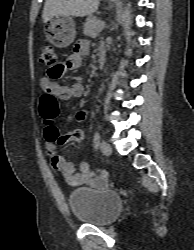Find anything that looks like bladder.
I'll return each instance as SVG.
<instances>
[{
    "instance_id": "31cf9c89",
    "label": "bladder",
    "mask_w": 194,
    "mask_h": 250,
    "mask_svg": "<svg viewBox=\"0 0 194 250\" xmlns=\"http://www.w3.org/2000/svg\"><path fill=\"white\" fill-rule=\"evenodd\" d=\"M68 205L79 221L90 225L105 226L112 222L122 209L118 193L81 187L72 190L67 197Z\"/></svg>"
}]
</instances>
